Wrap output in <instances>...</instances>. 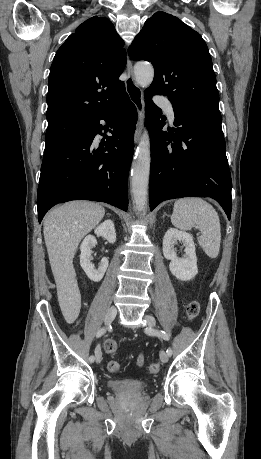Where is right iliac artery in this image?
<instances>
[{
    "instance_id": "right-iliac-artery-1",
    "label": "right iliac artery",
    "mask_w": 261,
    "mask_h": 459,
    "mask_svg": "<svg viewBox=\"0 0 261 459\" xmlns=\"http://www.w3.org/2000/svg\"><path fill=\"white\" fill-rule=\"evenodd\" d=\"M106 330H107L106 327L101 328V329L97 332L96 337H97V338H98V337H101V336L106 332ZM97 348H98V347H97ZM97 348H96V349H97ZM89 361H90V362H93V361H94V356H93V355L89 357Z\"/></svg>"
}]
</instances>
